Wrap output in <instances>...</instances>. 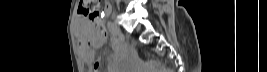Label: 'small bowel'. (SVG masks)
Here are the masks:
<instances>
[{"instance_id":"small-bowel-1","label":"small bowel","mask_w":267,"mask_h":72,"mask_svg":"<svg viewBox=\"0 0 267 72\" xmlns=\"http://www.w3.org/2000/svg\"><path fill=\"white\" fill-rule=\"evenodd\" d=\"M104 11L107 13H110L111 12V6L109 4H105L104 5ZM105 40H106V35H101V36L92 35L90 38V42L94 48L101 46ZM82 57H83L84 61L88 62L93 58V52L83 51ZM112 69H113L112 68V62L109 61V71H112Z\"/></svg>"}]
</instances>
